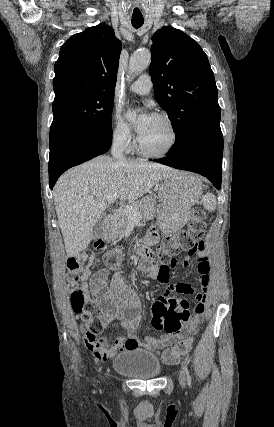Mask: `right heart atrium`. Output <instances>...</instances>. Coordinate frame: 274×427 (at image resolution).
<instances>
[{
    "instance_id": "right-heart-atrium-1",
    "label": "right heart atrium",
    "mask_w": 274,
    "mask_h": 427,
    "mask_svg": "<svg viewBox=\"0 0 274 427\" xmlns=\"http://www.w3.org/2000/svg\"><path fill=\"white\" fill-rule=\"evenodd\" d=\"M133 136L128 126L122 120L119 112L114 110L111 115V140L124 151H129L133 146Z\"/></svg>"
}]
</instances>
